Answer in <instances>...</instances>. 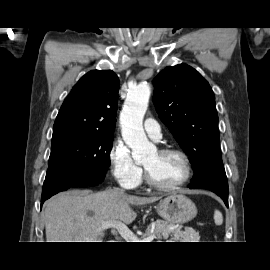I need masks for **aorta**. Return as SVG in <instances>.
<instances>
[{"instance_id":"aorta-1","label":"aorta","mask_w":270,"mask_h":270,"mask_svg":"<svg viewBox=\"0 0 270 270\" xmlns=\"http://www.w3.org/2000/svg\"><path fill=\"white\" fill-rule=\"evenodd\" d=\"M150 93L151 89L147 83L136 86L128 93L120 114L123 140L131 148L132 157L136 161H141L156 151V147L148 141L143 129V118Z\"/></svg>"}]
</instances>
